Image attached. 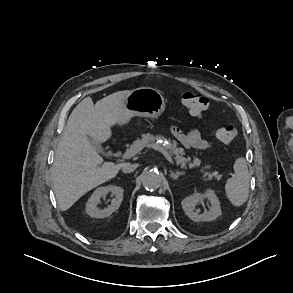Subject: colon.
Wrapping results in <instances>:
<instances>
[{"mask_svg":"<svg viewBox=\"0 0 293 293\" xmlns=\"http://www.w3.org/2000/svg\"><path fill=\"white\" fill-rule=\"evenodd\" d=\"M183 106L191 115L202 116L209 108L207 98L193 92H185L181 97ZM216 137L223 143H231L237 137V129L234 126H224L217 130Z\"/></svg>","mask_w":293,"mask_h":293,"instance_id":"5ec220e1","label":"colon"}]
</instances>
